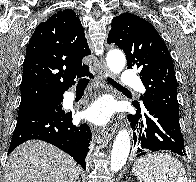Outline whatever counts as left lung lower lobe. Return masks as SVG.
<instances>
[{"mask_svg":"<svg viewBox=\"0 0 196 182\" xmlns=\"http://www.w3.org/2000/svg\"><path fill=\"white\" fill-rule=\"evenodd\" d=\"M136 115H130L133 128H138L139 137H134L135 156L168 150L183 156L186 154L179 119L170 115L158 104L144 102V108L133 102Z\"/></svg>","mask_w":196,"mask_h":182,"instance_id":"1","label":"left lung lower lobe"}]
</instances>
